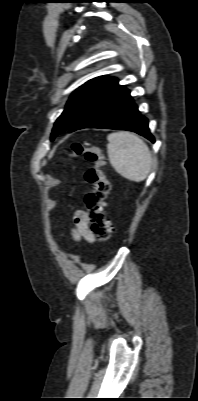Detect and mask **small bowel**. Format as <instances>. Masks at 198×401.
I'll list each match as a JSON object with an SVG mask.
<instances>
[{"instance_id":"c3829d8e","label":"small bowel","mask_w":198,"mask_h":401,"mask_svg":"<svg viewBox=\"0 0 198 401\" xmlns=\"http://www.w3.org/2000/svg\"><path fill=\"white\" fill-rule=\"evenodd\" d=\"M71 234L76 241L84 239L93 242L95 240L89 227V219L86 210L79 209L74 213Z\"/></svg>"}]
</instances>
